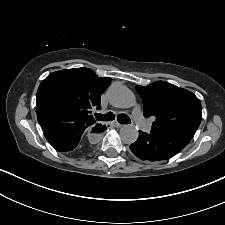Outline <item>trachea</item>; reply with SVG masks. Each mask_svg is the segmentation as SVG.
Instances as JSON below:
<instances>
[{"label": "trachea", "instance_id": "1", "mask_svg": "<svg viewBox=\"0 0 225 225\" xmlns=\"http://www.w3.org/2000/svg\"><path fill=\"white\" fill-rule=\"evenodd\" d=\"M96 120L98 121H112L114 119V114L112 112H109L107 114H95ZM118 121L121 124H130L131 120L126 114H120L118 115Z\"/></svg>", "mask_w": 225, "mask_h": 225}]
</instances>
